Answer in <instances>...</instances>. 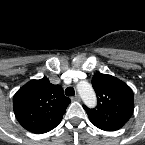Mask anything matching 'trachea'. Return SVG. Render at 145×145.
I'll use <instances>...</instances> for the list:
<instances>
[{"mask_svg":"<svg viewBox=\"0 0 145 145\" xmlns=\"http://www.w3.org/2000/svg\"><path fill=\"white\" fill-rule=\"evenodd\" d=\"M65 94L66 96H74L75 95V90L73 87H68L65 89Z\"/></svg>","mask_w":145,"mask_h":145,"instance_id":"3493384b","label":"trachea"}]
</instances>
